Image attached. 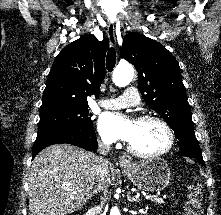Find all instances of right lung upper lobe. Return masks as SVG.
I'll list each match as a JSON object with an SVG mask.
<instances>
[{
  "mask_svg": "<svg viewBox=\"0 0 221 215\" xmlns=\"http://www.w3.org/2000/svg\"><path fill=\"white\" fill-rule=\"evenodd\" d=\"M107 49V41L92 35L67 45L49 72L40 115L88 106L87 96L100 92Z\"/></svg>",
  "mask_w": 221,
  "mask_h": 215,
  "instance_id": "1",
  "label": "right lung upper lobe"
}]
</instances>
